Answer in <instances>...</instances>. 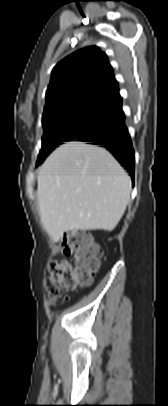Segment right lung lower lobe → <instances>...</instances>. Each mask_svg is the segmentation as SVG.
Wrapping results in <instances>:
<instances>
[{"label": "right lung lower lobe", "mask_w": 168, "mask_h": 406, "mask_svg": "<svg viewBox=\"0 0 168 406\" xmlns=\"http://www.w3.org/2000/svg\"><path fill=\"white\" fill-rule=\"evenodd\" d=\"M110 107L113 112L112 120L79 138L78 141L90 142L106 148L125 167L134 180L135 156L131 138L125 126L121 97L117 98Z\"/></svg>", "instance_id": "right-lung-lower-lobe-1"}]
</instances>
